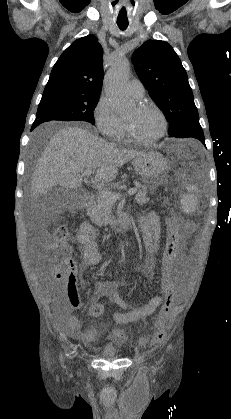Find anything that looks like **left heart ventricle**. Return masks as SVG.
<instances>
[{"label": "left heart ventricle", "instance_id": "b2bd125f", "mask_svg": "<svg viewBox=\"0 0 231 419\" xmlns=\"http://www.w3.org/2000/svg\"><path fill=\"white\" fill-rule=\"evenodd\" d=\"M132 133L141 139H149L157 135L162 127L159 115L153 110H140L135 107L125 117Z\"/></svg>", "mask_w": 231, "mask_h": 419}]
</instances>
